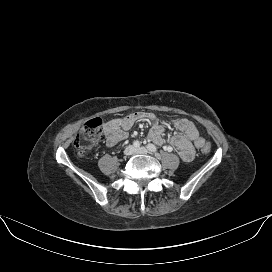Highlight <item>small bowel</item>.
I'll return each mask as SVG.
<instances>
[{"label": "small bowel", "instance_id": "1", "mask_svg": "<svg viewBox=\"0 0 272 272\" xmlns=\"http://www.w3.org/2000/svg\"><path fill=\"white\" fill-rule=\"evenodd\" d=\"M151 123L149 139L159 145L164 142L165 127L159 123L155 116L148 112H133L122 118L112 119L104 124L106 142L109 146H115L128 136V131L139 121ZM177 133L169 138L167 149L174 148L184 161H191L195 155V148H201L205 139L198 129L188 119L178 118L174 121Z\"/></svg>", "mask_w": 272, "mask_h": 272}]
</instances>
